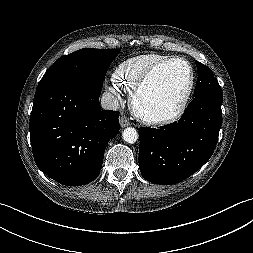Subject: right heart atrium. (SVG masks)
Returning <instances> with one entry per match:
<instances>
[{"instance_id":"d8ad5b80","label":"right heart atrium","mask_w":253,"mask_h":253,"mask_svg":"<svg viewBox=\"0 0 253 253\" xmlns=\"http://www.w3.org/2000/svg\"><path fill=\"white\" fill-rule=\"evenodd\" d=\"M110 90L116 95L117 98H120L119 92H118V90L116 89V87L112 86V87L110 88Z\"/></svg>"}]
</instances>
